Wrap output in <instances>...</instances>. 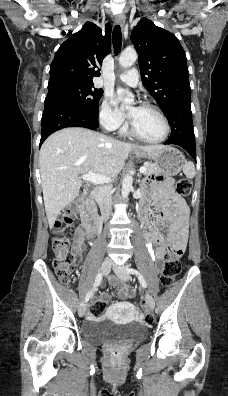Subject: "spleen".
Masks as SVG:
<instances>
[{
  "label": "spleen",
  "instance_id": "spleen-1",
  "mask_svg": "<svg viewBox=\"0 0 228 396\" xmlns=\"http://www.w3.org/2000/svg\"><path fill=\"white\" fill-rule=\"evenodd\" d=\"M183 172L187 178H194L195 176V166L192 162H186L183 166Z\"/></svg>",
  "mask_w": 228,
  "mask_h": 396
}]
</instances>
